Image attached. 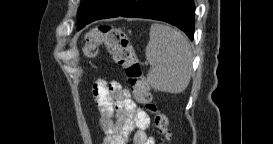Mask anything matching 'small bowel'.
Segmentation results:
<instances>
[{"label":"small bowel","instance_id":"1","mask_svg":"<svg viewBox=\"0 0 273 144\" xmlns=\"http://www.w3.org/2000/svg\"><path fill=\"white\" fill-rule=\"evenodd\" d=\"M98 122L105 135L104 144H126L130 135L134 144H154L148 134L149 115L132 99L118 80L100 79L93 85Z\"/></svg>","mask_w":273,"mask_h":144}]
</instances>
